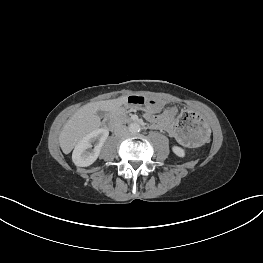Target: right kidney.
Wrapping results in <instances>:
<instances>
[{
    "label": "right kidney",
    "mask_w": 263,
    "mask_h": 263,
    "mask_svg": "<svg viewBox=\"0 0 263 263\" xmlns=\"http://www.w3.org/2000/svg\"><path fill=\"white\" fill-rule=\"evenodd\" d=\"M109 131L104 128L96 129L83 137L75 146L72 161L76 166L87 167L93 164L107 140ZM94 144V149H91Z\"/></svg>",
    "instance_id": "obj_1"
}]
</instances>
